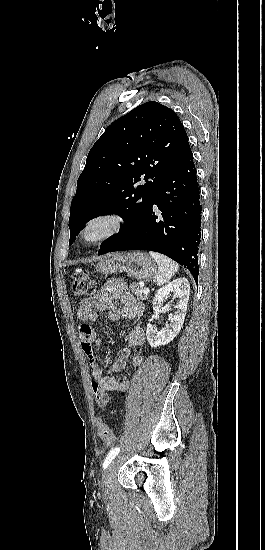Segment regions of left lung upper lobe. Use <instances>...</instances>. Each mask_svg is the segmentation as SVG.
<instances>
[{"label": "left lung upper lobe", "instance_id": "5c2ea615", "mask_svg": "<svg viewBox=\"0 0 265 550\" xmlns=\"http://www.w3.org/2000/svg\"><path fill=\"white\" fill-rule=\"evenodd\" d=\"M188 147L176 113L155 101L114 121L93 145L78 178L69 244L89 220L108 213L121 216L125 226L105 244L121 239L143 217L166 174Z\"/></svg>", "mask_w": 265, "mask_h": 550}]
</instances>
